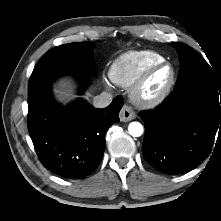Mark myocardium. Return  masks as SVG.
Here are the masks:
<instances>
[{
  "mask_svg": "<svg viewBox=\"0 0 221 221\" xmlns=\"http://www.w3.org/2000/svg\"><path fill=\"white\" fill-rule=\"evenodd\" d=\"M163 67L170 68V78L165 87L159 91L157 94L153 96H145L144 90L145 87L152 77V75ZM176 82V69L172 63L169 61L163 60L161 62L155 63L149 66L142 75L138 78V80L132 85L130 91V97L132 101L141 108H154L160 105L171 93Z\"/></svg>",
  "mask_w": 221,
  "mask_h": 221,
  "instance_id": "obj_1",
  "label": "myocardium"
}]
</instances>
